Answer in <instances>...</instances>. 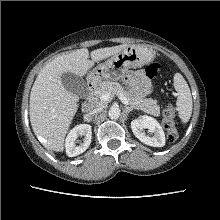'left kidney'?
Returning <instances> with one entry per match:
<instances>
[{
    "label": "left kidney",
    "mask_w": 220,
    "mask_h": 220,
    "mask_svg": "<svg viewBox=\"0 0 220 220\" xmlns=\"http://www.w3.org/2000/svg\"><path fill=\"white\" fill-rule=\"evenodd\" d=\"M131 128L133 134L142 143L153 147H163L165 145L164 131L156 119L146 115L140 116L131 122ZM143 129H148L153 133V136H146Z\"/></svg>",
    "instance_id": "obj_1"
}]
</instances>
